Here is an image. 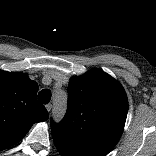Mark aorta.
Returning a JSON list of instances; mask_svg holds the SVG:
<instances>
[{"label":"aorta","mask_w":156,"mask_h":156,"mask_svg":"<svg viewBox=\"0 0 156 156\" xmlns=\"http://www.w3.org/2000/svg\"><path fill=\"white\" fill-rule=\"evenodd\" d=\"M53 118L55 121H60L67 109V95L63 91H57L53 95Z\"/></svg>","instance_id":"aorta-1"}]
</instances>
